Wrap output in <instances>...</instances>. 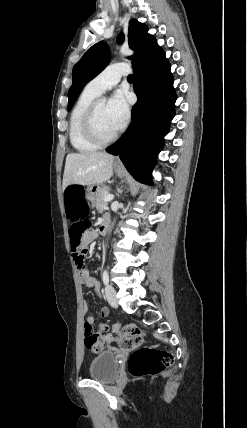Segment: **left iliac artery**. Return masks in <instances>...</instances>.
Returning a JSON list of instances; mask_svg holds the SVG:
<instances>
[{"instance_id":"obj_1","label":"left iliac artery","mask_w":247,"mask_h":428,"mask_svg":"<svg viewBox=\"0 0 247 428\" xmlns=\"http://www.w3.org/2000/svg\"><path fill=\"white\" fill-rule=\"evenodd\" d=\"M102 278H103V282H104V284H108V282H109V276H108V272H107V270H104L103 271V273H102Z\"/></svg>"}]
</instances>
